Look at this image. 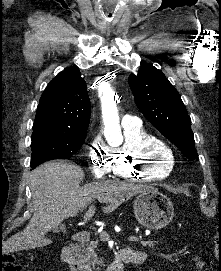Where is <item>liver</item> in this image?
<instances>
[{
    "instance_id": "obj_1",
    "label": "liver",
    "mask_w": 221,
    "mask_h": 271,
    "mask_svg": "<svg viewBox=\"0 0 221 271\" xmlns=\"http://www.w3.org/2000/svg\"><path fill=\"white\" fill-rule=\"evenodd\" d=\"M83 177L84 171L79 165L61 159L46 161L33 169L30 189L34 213L23 231L5 241L4 249L20 251L49 245L52 241L45 235L51 227L77 215L78 209L88 205L93 197H98L100 203H110L109 207H118L128 191L136 193L135 185L113 179H98L80 187Z\"/></svg>"
}]
</instances>
